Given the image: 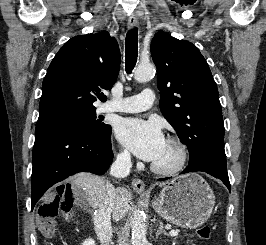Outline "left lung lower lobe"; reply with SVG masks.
<instances>
[{
	"instance_id": "obj_1",
	"label": "left lung lower lobe",
	"mask_w": 266,
	"mask_h": 245,
	"mask_svg": "<svg viewBox=\"0 0 266 245\" xmlns=\"http://www.w3.org/2000/svg\"><path fill=\"white\" fill-rule=\"evenodd\" d=\"M196 171L206 172L214 176L215 178L221 179L223 183L227 186V188L230 190V182L227 174L226 164H222L211 159L199 160L193 164H189L180 174ZM166 179L168 178H161L159 180L163 181Z\"/></svg>"
}]
</instances>
